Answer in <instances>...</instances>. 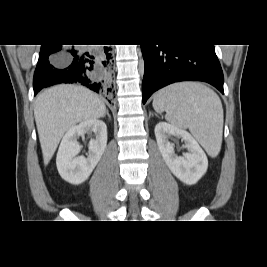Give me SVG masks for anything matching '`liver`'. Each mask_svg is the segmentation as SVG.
Listing matches in <instances>:
<instances>
[{"label":"liver","instance_id":"1","mask_svg":"<svg viewBox=\"0 0 267 267\" xmlns=\"http://www.w3.org/2000/svg\"><path fill=\"white\" fill-rule=\"evenodd\" d=\"M105 114V104L85 87L59 85L42 92L35 102L34 116L44 164L50 162L69 129L79 122L98 119Z\"/></svg>","mask_w":267,"mask_h":267}]
</instances>
